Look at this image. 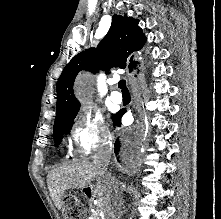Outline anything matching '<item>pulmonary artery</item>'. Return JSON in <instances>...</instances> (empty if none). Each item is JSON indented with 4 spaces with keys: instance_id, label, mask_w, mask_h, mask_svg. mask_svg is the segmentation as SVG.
<instances>
[{
    "instance_id": "obj_1",
    "label": "pulmonary artery",
    "mask_w": 221,
    "mask_h": 219,
    "mask_svg": "<svg viewBox=\"0 0 221 219\" xmlns=\"http://www.w3.org/2000/svg\"><path fill=\"white\" fill-rule=\"evenodd\" d=\"M114 84H116V82H114ZM110 99L112 102L116 103V104H120L123 101V97L122 94L117 92V91H113L110 95Z\"/></svg>"
}]
</instances>
